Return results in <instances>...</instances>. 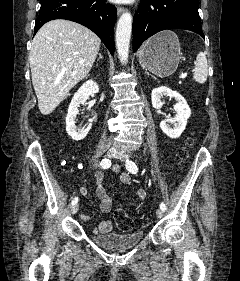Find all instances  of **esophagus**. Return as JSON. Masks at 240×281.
I'll return each mask as SVG.
<instances>
[{"label": "esophagus", "instance_id": "esophagus-1", "mask_svg": "<svg viewBox=\"0 0 240 281\" xmlns=\"http://www.w3.org/2000/svg\"><path fill=\"white\" fill-rule=\"evenodd\" d=\"M123 12V8L117 7V14L120 15Z\"/></svg>", "mask_w": 240, "mask_h": 281}]
</instances>
